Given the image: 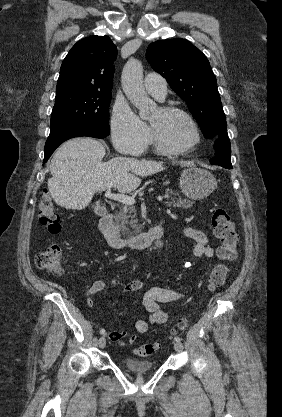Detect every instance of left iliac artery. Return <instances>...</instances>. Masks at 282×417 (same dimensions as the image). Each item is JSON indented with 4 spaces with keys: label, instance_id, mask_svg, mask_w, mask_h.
<instances>
[{
    "label": "left iliac artery",
    "instance_id": "44dca946",
    "mask_svg": "<svg viewBox=\"0 0 282 417\" xmlns=\"http://www.w3.org/2000/svg\"><path fill=\"white\" fill-rule=\"evenodd\" d=\"M175 341H176V342H180V341H181V338H180V337H178V336H176V337H175Z\"/></svg>",
    "mask_w": 282,
    "mask_h": 417
}]
</instances>
